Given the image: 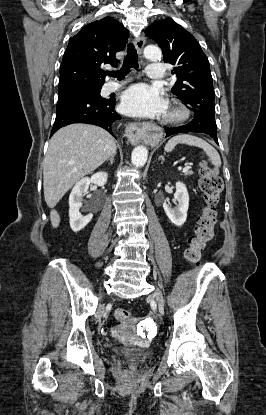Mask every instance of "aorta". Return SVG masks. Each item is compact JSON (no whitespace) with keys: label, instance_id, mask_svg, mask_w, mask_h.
Here are the masks:
<instances>
[{"label":"aorta","instance_id":"obj_1","mask_svg":"<svg viewBox=\"0 0 266 415\" xmlns=\"http://www.w3.org/2000/svg\"><path fill=\"white\" fill-rule=\"evenodd\" d=\"M144 56L151 61H157L161 59V51L158 47L149 45L144 49ZM147 157L146 147L138 146L132 152L131 162L135 167H142L145 165Z\"/></svg>","mask_w":266,"mask_h":415}]
</instances>
